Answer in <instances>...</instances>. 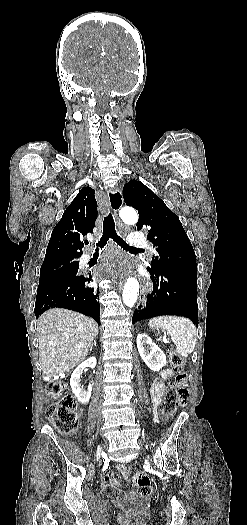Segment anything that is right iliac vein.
Wrapping results in <instances>:
<instances>
[{"instance_id":"63e3f726","label":"right iliac vein","mask_w":247,"mask_h":525,"mask_svg":"<svg viewBox=\"0 0 247 525\" xmlns=\"http://www.w3.org/2000/svg\"><path fill=\"white\" fill-rule=\"evenodd\" d=\"M100 452H101V448H98V449H97V452H96V455L99 456V455H100Z\"/></svg>"}]
</instances>
